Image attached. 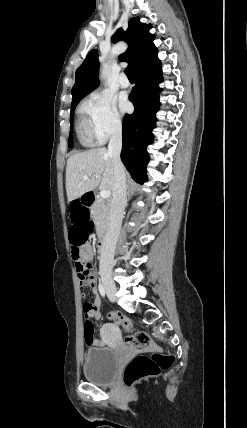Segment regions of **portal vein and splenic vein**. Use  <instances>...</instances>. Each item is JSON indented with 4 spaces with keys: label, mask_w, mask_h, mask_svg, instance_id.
Returning <instances> with one entry per match:
<instances>
[{
    "label": "portal vein and splenic vein",
    "mask_w": 247,
    "mask_h": 428,
    "mask_svg": "<svg viewBox=\"0 0 247 428\" xmlns=\"http://www.w3.org/2000/svg\"><path fill=\"white\" fill-rule=\"evenodd\" d=\"M85 180H87V179H89V176H84L83 177ZM110 195H111V192L109 191V190H101L100 191V196H101V198H103V199H107V198H109L110 197Z\"/></svg>",
    "instance_id": "18ae733b"
}]
</instances>
